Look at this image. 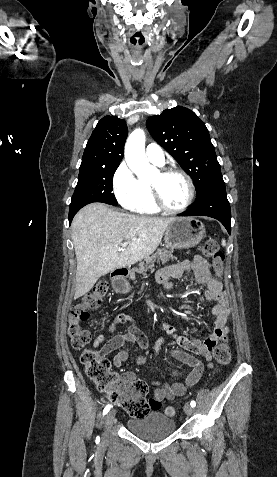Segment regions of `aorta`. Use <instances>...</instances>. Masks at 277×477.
<instances>
[{
  "mask_svg": "<svg viewBox=\"0 0 277 477\" xmlns=\"http://www.w3.org/2000/svg\"><path fill=\"white\" fill-rule=\"evenodd\" d=\"M125 160L140 180H149L157 172V168L146 159L145 133L142 129H135L129 135L125 145Z\"/></svg>",
  "mask_w": 277,
  "mask_h": 477,
  "instance_id": "obj_1",
  "label": "aorta"
}]
</instances>
